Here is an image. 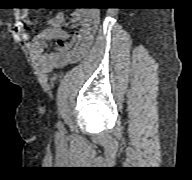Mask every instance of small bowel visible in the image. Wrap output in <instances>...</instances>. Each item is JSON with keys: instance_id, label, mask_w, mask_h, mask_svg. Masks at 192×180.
Segmentation results:
<instances>
[{"instance_id": "1", "label": "small bowel", "mask_w": 192, "mask_h": 180, "mask_svg": "<svg viewBox=\"0 0 192 180\" xmlns=\"http://www.w3.org/2000/svg\"><path fill=\"white\" fill-rule=\"evenodd\" d=\"M22 18L29 23V12L23 10ZM71 20L78 23L73 35L63 29L65 14L57 13L49 22V26L34 37L30 48L34 54L41 55L43 61L49 66H63L79 61L91 48L99 23V14L95 10H76L71 14ZM28 39L27 34H23ZM56 40L57 47L51 53H46V43Z\"/></svg>"}]
</instances>
